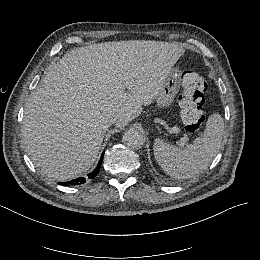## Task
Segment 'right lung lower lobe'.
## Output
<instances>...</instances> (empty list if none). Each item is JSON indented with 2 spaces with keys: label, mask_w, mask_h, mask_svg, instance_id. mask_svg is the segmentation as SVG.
Segmentation results:
<instances>
[{
  "label": "right lung lower lobe",
  "mask_w": 260,
  "mask_h": 260,
  "mask_svg": "<svg viewBox=\"0 0 260 260\" xmlns=\"http://www.w3.org/2000/svg\"><path fill=\"white\" fill-rule=\"evenodd\" d=\"M103 157H104V153L102 154L100 161H99L97 167L95 168V170L88 174L89 179H93L99 173ZM85 182H86V179L84 177H80V178L74 179L69 182H59V184L62 186H79V185L84 184Z\"/></svg>",
  "instance_id": "98d812e1"
}]
</instances>
